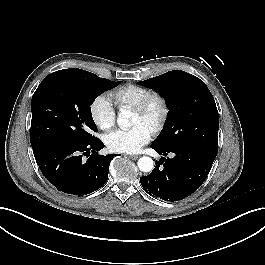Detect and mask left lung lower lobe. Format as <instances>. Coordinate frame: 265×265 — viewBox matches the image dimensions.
Returning <instances> with one entry per match:
<instances>
[{"label":"left lung lower lobe","mask_w":265,"mask_h":265,"mask_svg":"<svg viewBox=\"0 0 265 265\" xmlns=\"http://www.w3.org/2000/svg\"><path fill=\"white\" fill-rule=\"evenodd\" d=\"M151 148L163 156L173 153L174 157H161L156 161V168L140 178V183L148 194L167 201L181 200L195 192L207 177L217 155L196 146L161 149L151 145Z\"/></svg>","instance_id":"obj_1"}]
</instances>
